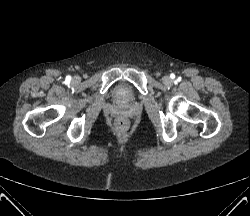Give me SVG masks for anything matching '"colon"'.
<instances>
[{
	"instance_id": "obj_1",
	"label": "colon",
	"mask_w": 250,
	"mask_h": 216,
	"mask_svg": "<svg viewBox=\"0 0 250 216\" xmlns=\"http://www.w3.org/2000/svg\"><path fill=\"white\" fill-rule=\"evenodd\" d=\"M114 126L117 131L123 132L127 128V122L123 117H118L114 122Z\"/></svg>"
}]
</instances>
